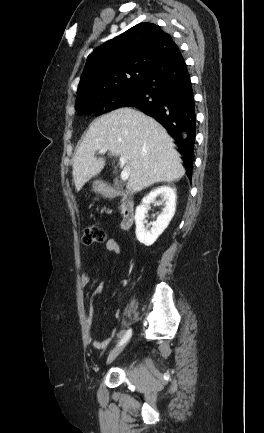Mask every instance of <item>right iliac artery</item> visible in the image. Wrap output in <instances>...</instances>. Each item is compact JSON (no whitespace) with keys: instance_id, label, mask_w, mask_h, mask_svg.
<instances>
[{"instance_id":"obj_1","label":"right iliac artery","mask_w":264,"mask_h":433,"mask_svg":"<svg viewBox=\"0 0 264 433\" xmlns=\"http://www.w3.org/2000/svg\"><path fill=\"white\" fill-rule=\"evenodd\" d=\"M131 335H132V330L129 329L126 332V334L123 336V338L120 340V342L118 343V345H122V344L126 343L129 340V338L131 337Z\"/></svg>"}]
</instances>
